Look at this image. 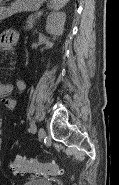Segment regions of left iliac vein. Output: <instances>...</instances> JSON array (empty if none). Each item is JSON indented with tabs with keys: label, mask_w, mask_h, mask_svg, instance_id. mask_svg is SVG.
Instances as JSON below:
<instances>
[{
	"label": "left iliac vein",
	"mask_w": 119,
	"mask_h": 185,
	"mask_svg": "<svg viewBox=\"0 0 119 185\" xmlns=\"http://www.w3.org/2000/svg\"><path fill=\"white\" fill-rule=\"evenodd\" d=\"M45 135H46L45 129H44L43 127H41V128L39 129V131H38V137H39V139H40V140H43L44 137H45Z\"/></svg>",
	"instance_id": "obj_1"
}]
</instances>
